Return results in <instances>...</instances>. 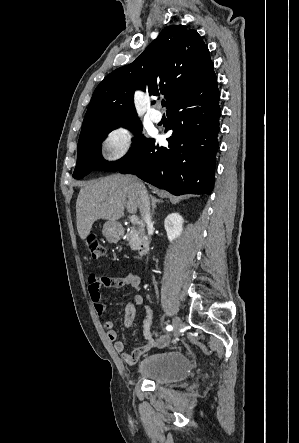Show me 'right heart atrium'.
<instances>
[{"label": "right heart atrium", "mask_w": 299, "mask_h": 443, "mask_svg": "<svg viewBox=\"0 0 299 443\" xmlns=\"http://www.w3.org/2000/svg\"><path fill=\"white\" fill-rule=\"evenodd\" d=\"M136 139L133 129L117 126L109 130L102 140V151L110 161H117L126 157L132 150Z\"/></svg>", "instance_id": "right-heart-atrium-1"}]
</instances>
